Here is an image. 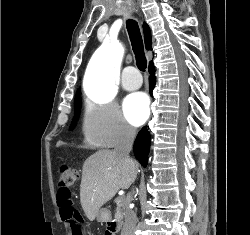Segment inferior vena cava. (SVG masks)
<instances>
[{"label": "inferior vena cava", "instance_id": "obj_1", "mask_svg": "<svg viewBox=\"0 0 250 235\" xmlns=\"http://www.w3.org/2000/svg\"><path fill=\"white\" fill-rule=\"evenodd\" d=\"M135 136L136 132L133 128L128 126L126 123L121 124L119 140L114 152L126 162H131L129 153L132 149ZM124 216L125 222L121 231V235H134V229L137 222L136 213L131 208L126 207Z\"/></svg>", "mask_w": 250, "mask_h": 235}]
</instances>
